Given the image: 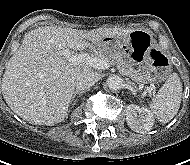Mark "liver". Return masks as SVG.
Instances as JSON below:
<instances>
[{
  "mask_svg": "<svg viewBox=\"0 0 190 165\" xmlns=\"http://www.w3.org/2000/svg\"><path fill=\"white\" fill-rule=\"evenodd\" d=\"M133 29L97 28L90 31L52 26L32 30L9 59L2 78L8 106L35 125H55L68 115L76 77L91 66L71 65L61 54L65 48L84 50L105 37H126Z\"/></svg>",
  "mask_w": 190,
  "mask_h": 165,
  "instance_id": "6515ba94",
  "label": "liver"
}]
</instances>
